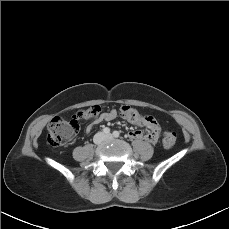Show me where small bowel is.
<instances>
[{
	"instance_id": "1",
	"label": "small bowel",
	"mask_w": 229,
	"mask_h": 229,
	"mask_svg": "<svg viewBox=\"0 0 229 229\" xmlns=\"http://www.w3.org/2000/svg\"><path fill=\"white\" fill-rule=\"evenodd\" d=\"M117 117V112L115 110L107 111L102 113L94 122L87 126L86 132L90 133L94 124L100 122L112 121ZM143 124L148 128L147 132L140 130H135L129 133V136L134 139H144L150 143H155L159 136V125L153 116H145Z\"/></svg>"
}]
</instances>
